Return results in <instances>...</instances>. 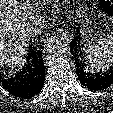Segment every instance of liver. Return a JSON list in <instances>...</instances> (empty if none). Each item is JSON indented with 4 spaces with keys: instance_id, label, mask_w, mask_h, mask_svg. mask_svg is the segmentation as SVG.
I'll use <instances>...</instances> for the list:
<instances>
[{
    "instance_id": "1",
    "label": "liver",
    "mask_w": 113,
    "mask_h": 113,
    "mask_svg": "<svg viewBox=\"0 0 113 113\" xmlns=\"http://www.w3.org/2000/svg\"><path fill=\"white\" fill-rule=\"evenodd\" d=\"M31 11L22 1L0 0V66L8 67L10 74L26 61Z\"/></svg>"
}]
</instances>
